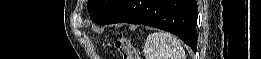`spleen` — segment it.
Returning <instances> with one entry per match:
<instances>
[{
    "label": "spleen",
    "mask_w": 261,
    "mask_h": 59,
    "mask_svg": "<svg viewBox=\"0 0 261 59\" xmlns=\"http://www.w3.org/2000/svg\"><path fill=\"white\" fill-rule=\"evenodd\" d=\"M144 54L146 59H185V50L180 40L163 32H154L148 35Z\"/></svg>",
    "instance_id": "1"
}]
</instances>
